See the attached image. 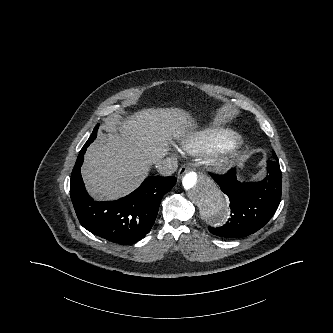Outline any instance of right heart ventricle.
<instances>
[{
    "label": "right heart ventricle",
    "mask_w": 333,
    "mask_h": 333,
    "mask_svg": "<svg viewBox=\"0 0 333 333\" xmlns=\"http://www.w3.org/2000/svg\"><path fill=\"white\" fill-rule=\"evenodd\" d=\"M237 137L231 132L204 130L182 142L183 149L190 154H206L225 144L234 142Z\"/></svg>",
    "instance_id": "1"
}]
</instances>
